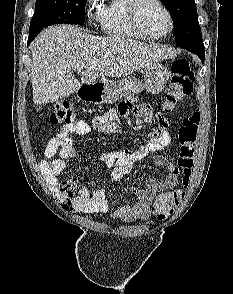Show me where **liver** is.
Instances as JSON below:
<instances>
[{"label":"liver","instance_id":"1","mask_svg":"<svg viewBox=\"0 0 233 294\" xmlns=\"http://www.w3.org/2000/svg\"><path fill=\"white\" fill-rule=\"evenodd\" d=\"M33 102H57L94 85L102 76L125 77L173 53L159 44L118 36L98 37L72 25H55L43 30L31 44ZM84 63L81 81L72 73Z\"/></svg>","mask_w":233,"mask_h":294}]
</instances>
